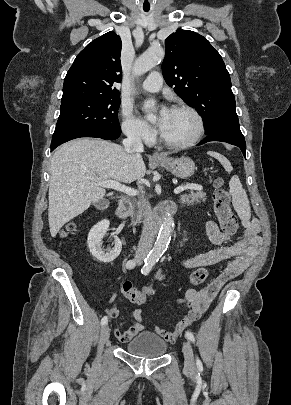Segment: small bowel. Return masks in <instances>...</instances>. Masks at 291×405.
<instances>
[{"mask_svg":"<svg viewBox=\"0 0 291 405\" xmlns=\"http://www.w3.org/2000/svg\"><path fill=\"white\" fill-rule=\"evenodd\" d=\"M259 231L258 222L252 221L246 225L242 240L232 245H225L229 241V235L221 231L215 221L209 220L206 223L207 236L213 244L219 245V247L187 257L183 260V265L186 268L195 269L212 266L225 260H229V262L222 272L208 285L201 289L191 288L186 291L184 298L178 302L185 303L188 307V312L176 324L174 330L167 331L155 327L154 333L167 342H174L187 327L198 320L209 307L218 291L228 281L242 274L258 255L262 242L259 237ZM185 240L186 235L183 238V241ZM107 313L111 318H116L119 315V309L117 306H111L107 309ZM134 316L135 321L129 323V328L125 332H115L118 341L123 343L128 342L145 329L142 321V310H135Z\"/></svg>","mask_w":291,"mask_h":405,"instance_id":"1","label":"small bowel"}]
</instances>
